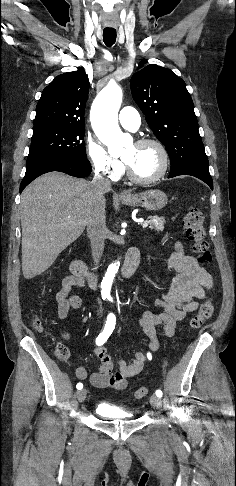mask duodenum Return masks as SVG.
I'll use <instances>...</instances> for the list:
<instances>
[{
    "instance_id": "duodenum-1",
    "label": "duodenum",
    "mask_w": 236,
    "mask_h": 486,
    "mask_svg": "<svg viewBox=\"0 0 236 486\" xmlns=\"http://www.w3.org/2000/svg\"><path fill=\"white\" fill-rule=\"evenodd\" d=\"M140 261V254L139 250L136 247H131L125 257V261L122 267V275L124 278H129L131 277ZM70 270L72 274L77 277L78 279H88L92 285L95 283V275L87 268L85 263L81 261L80 259H74L72 260L70 264Z\"/></svg>"
}]
</instances>
